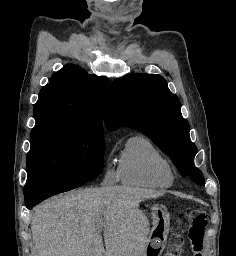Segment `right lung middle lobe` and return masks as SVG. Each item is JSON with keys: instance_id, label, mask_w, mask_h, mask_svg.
<instances>
[{"instance_id": "right-lung-middle-lobe-1", "label": "right lung middle lobe", "mask_w": 236, "mask_h": 256, "mask_svg": "<svg viewBox=\"0 0 236 256\" xmlns=\"http://www.w3.org/2000/svg\"><path fill=\"white\" fill-rule=\"evenodd\" d=\"M30 144L25 199L96 177L104 163L102 132L73 125L44 124L32 129Z\"/></svg>"}]
</instances>
